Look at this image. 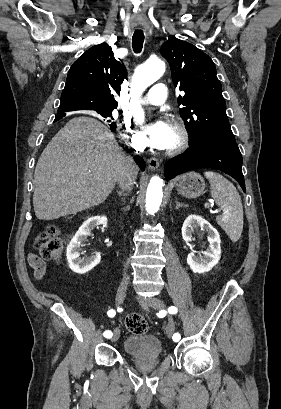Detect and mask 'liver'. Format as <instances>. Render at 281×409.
Instances as JSON below:
<instances>
[{"instance_id": "6515ba94", "label": "liver", "mask_w": 281, "mask_h": 409, "mask_svg": "<svg viewBox=\"0 0 281 409\" xmlns=\"http://www.w3.org/2000/svg\"><path fill=\"white\" fill-rule=\"evenodd\" d=\"M126 156L113 132L90 116L71 118L44 148L34 172L37 219L52 221L100 205Z\"/></svg>"}]
</instances>
